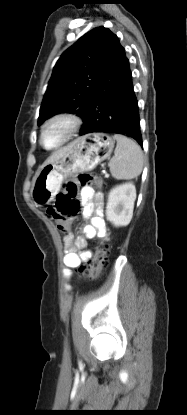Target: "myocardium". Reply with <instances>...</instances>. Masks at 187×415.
<instances>
[{
    "label": "myocardium",
    "instance_id": "obj_1",
    "mask_svg": "<svg viewBox=\"0 0 187 415\" xmlns=\"http://www.w3.org/2000/svg\"><path fill=\"white\" fill-rule=\"evenodd\" d=\"M56 122H63L67 125L66 134L62 138V140L59 141L56 145L50 146V147L46 146L44 143V134L46 130L48 129V127ZM81 125H82L81 118L74 113H71V112L55 113L51 115L49 118H47L41 125L40 133H39V143L43 148L47 150L58 149L66 145L76 135Z\"/></svg>",
    "mask_w": 187,
    "mask_h": 415
}]
</instances>
